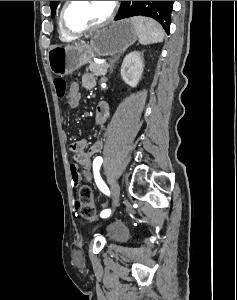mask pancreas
Segmentation results:
<instances>
[{
    "label": "pancreas",
    "mask_w": 237,
    "mask_h": 300,
    "mask_svg": "<svg viewBox=\"0 0 237 300\" xmlns=\"http://www.w3.org/2000/svg\"><path fill=\"white\" fill-rule=\"evenodd\" d=\"M110 63H112V61H109V67H111ZM104 64L105 63H93V61H89V67L88 69H86V71H91V73H93V75H96V77H103V75H106L107 69H109L102 68V65Z\"/></svg>",
    "instance_id": "pancreas-1"
}]
</instances>
